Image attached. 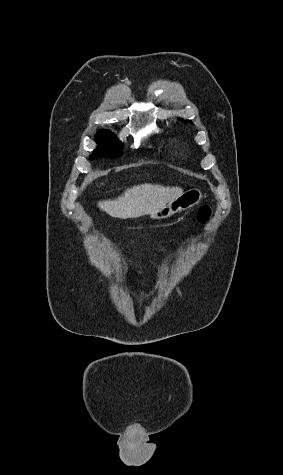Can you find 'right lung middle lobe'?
<instances>
[{
  "label": "right lung middle lobe",
  "mask_w": 283,
  "mask_h": 475,
  "mask_svg": "<svg viewBox=\"0 0 283 475\" xmlns=\"http://www.w3.org/2000/svg\"><path fill=\"white\" fill-rule=\"evenodd\" d=\"M95 141L98 144L93 151L90 159L96 157H119L123 154L121 142L109 130H99L95 136Z\"/></svg>",
  "instance_id": "1"
}]
</instances>
